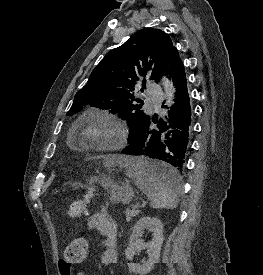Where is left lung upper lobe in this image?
<instances>
[{
  "label": "left lung upper lobe",
  "instance_id": "left-lung-upper-lobe-1",
  "mask_svg": "<svg viewBox=\"0 0 263 275\" xmlns=\"http://www.w3.org/2000/svg\"><path fill=\"white\" fill-rule=\"evenodd\" d=\"M176 52L164 31L151 28L137 31L94 68L87 84L75 95L67 115L76 114L85 105L118 111L128 122L129 140L150 119L140 110L141 105L136 104L141 100L135 99L130 91L138 86L142 76L150 75L158 82Z\"/></svg>",
  "mask_w": 263,
  "mask_h": 275
}]
</instances>
